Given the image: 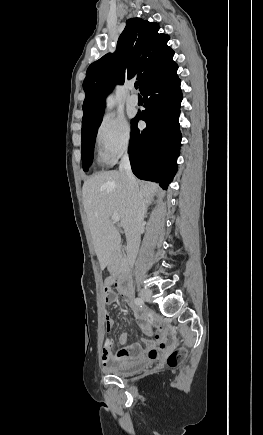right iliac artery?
Wrapping results in <instances>:
<instances>
[{"label": "right iliac artery", "instance_id": "1", "mask_svg": "<svg viewBox=\"0 0 263 435\" xmlns=\"http://www.w3.org/2000/svg\"><path fill=\"white\" fill-rule=\"evenodd\" d=\"M134 302H135L136 305L141 306V307H142V305L144 304V301H143L142 298H136V299L134 300Z\"/></svg>", "mask_w": 263, "mask_h": 435}]
</instances>
